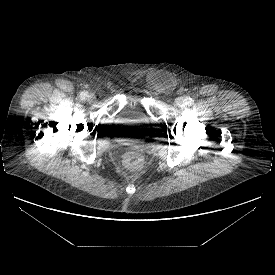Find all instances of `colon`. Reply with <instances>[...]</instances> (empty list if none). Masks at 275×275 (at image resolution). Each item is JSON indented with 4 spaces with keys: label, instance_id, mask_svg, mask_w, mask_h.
<instances>
[{
    "label": "colon",
    "instance_id": "1",
    "mask_svg": "<svg viewBox=\"0 0 275 275\" xmlns=\"http://www.w3.org/2000/svg\"><path fill=\"white\" fill-rule=\"evenodd\" d=\"M122 162L127 168L137 170L143 166L144 158L140 152L135 150H128L123 153Z\"/></svg>",
    "mask_w": 275,
    "mask_h": 275
}]
</instances>
